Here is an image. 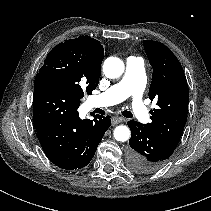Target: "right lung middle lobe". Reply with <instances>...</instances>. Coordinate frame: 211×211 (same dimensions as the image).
Segmentation results:
<instances>
[{
  "mask_svg": "<svg viewBox=\"0 0 211 211\" xmlns=\"http://www.w3.org/2000/svg\"><path fill=\"white\" fill-rule=\"evenodd\" d=\"M37 77L66 87L80 99L84 97V93L92 94L99 81L87 71L65 42L58 44L49 52Z\"/></svg>",
  "mask_w": 211,
  "mask_h": 211,
  "instance_id": "right-lung-middle-lobe-1",
  "label": "right lung middle lobe"
}]
</instances>
